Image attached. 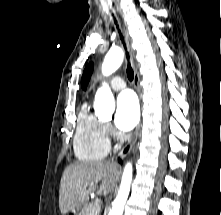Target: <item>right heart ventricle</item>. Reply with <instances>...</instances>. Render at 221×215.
Instances as JSON below:
<instances>
[{
    "instance_id": "obj_1",
    "label": "right heart ventricle",
    "mask_w": 221,
    "mask_h": 215,
    "mask_svg": "<svg viewBox=\"0 0 221 215\" xmlns=\"http://www.w3.org/2000/svg\"><path fill=\"white\" fill-rule=\"evenodd\" d=\"M109 149L102 121L84 103L77 116L73 151L80 161H95L106 156Z\"/></svg>"
}]
</instances>
